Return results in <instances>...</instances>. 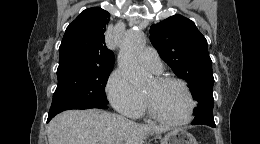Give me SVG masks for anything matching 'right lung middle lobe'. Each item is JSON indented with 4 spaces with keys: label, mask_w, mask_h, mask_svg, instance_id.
<instances>
[{
    "label": "right lung middle lobe",
    "mask_w": 260,
    "mask_h": 144,
    "mask_svg": "<svg viewBox=\"0 0 260 144\" xmlns=\"http://www.w3.org/2000/svg\"><path fill=\"white\" fill-rule=\"evenodd\" d=\"M112 69L113 67L58 69V85L48 117H54L64 110L107 105L105 86Z\"/></svg>",
    "instance_id": "right-lung-middle-lobe-1"
}]
</instances>
